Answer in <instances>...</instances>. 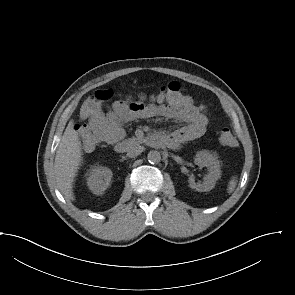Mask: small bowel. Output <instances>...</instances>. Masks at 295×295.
Wrapping results in <instances>:
<instances>
[{
	"instance_id": "small-bowel-1",
	"label": "small bowel",
	"mask_w": 295,
	"mask_h": 295,
	"mask_svg": "<svg viewBox=\"0 0 295 295\" xmlns=\"http://www.w3.org/2000/svg\"><path fill=\"white\" fill-rule=\"evenodd\" d=\"M154 100V104L132 100L116 101L109 112L99 110L94 113L88 120V127L102 130V140L113 144L122 139L124 123L156 115L164 116L185 124L172 133L159 134L164 144L171 148H177L205 133L209 123L208 117L191 99L180 101L162 92Z\"/></svg>"
}]
</instances>
